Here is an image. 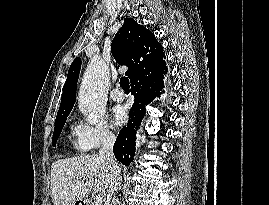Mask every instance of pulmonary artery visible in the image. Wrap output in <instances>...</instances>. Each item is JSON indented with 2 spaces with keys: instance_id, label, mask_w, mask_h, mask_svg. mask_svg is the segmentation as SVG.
Masks as SVG:
<instances>
[{
  "instance_id": "1",
  "label": "pulmonary artery",
  "mask_w": 269,
  "mask_h": 205,
  "mask_svg": "<svg viewBox=\"0 0 269 205\" xmlns=\"http://www.w3.org/2000/svg\"><path fill=\"white\" fill-rule=\"evenodd\" d=\"M111 98L117 102L123 101L125 99V93L123 92L122 89L116 88V89L112 90Z\"/></svg>"
}]
</instances>
